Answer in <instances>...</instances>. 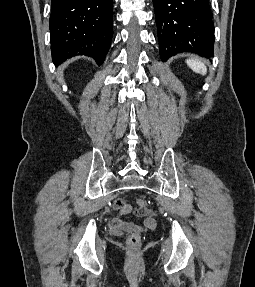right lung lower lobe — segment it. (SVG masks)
<instances>
[{
    "label": "right lung lower lobe",
    "instance_id": "98d812e1",
    "mask_svg": "<svg viewBox=\"0 0 255 287\" xmlns=\"http://www.w3.org/2000/svg\"><path fill=\"white\" fill-rule=\"evenodd\" d=\"M113 0H52L50 42L56 65L76 55L103 64L113 35Z\"/></svg>",
    "mask_w": 255,
    "mask_h": 287
}]
</instances>
